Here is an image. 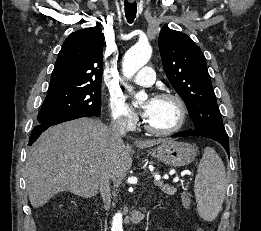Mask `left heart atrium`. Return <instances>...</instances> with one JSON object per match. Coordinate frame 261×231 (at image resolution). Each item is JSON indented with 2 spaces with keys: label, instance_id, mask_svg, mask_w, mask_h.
I'll list each match as a JSON object with an SVG mask.
<instances>
[{
  "label": "left heart atrium",
  "instance_id": "39dd6f15",
  "mask_svg": "<svg viewBox=\"0 0 261 231\" xmlns=\"http://www.w3.org/2000/svg\"><path fill=\"white\" fill-rule=\"evenodd\" d=\"M154 99H155V98H150V99L147 101V103L145 104V106H143L142 114H143L144 117L148 114L149 109H150V107L152 106V104H153V102H154Z\"/></svg>",
  "mask_w": 261,
  "mask_h": 231
}]
</instances>
